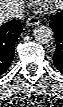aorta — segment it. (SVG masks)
<instances>
[{"label":"aorta","mask_w":63,"mask_h":107,"mask_svg":"<svg viewBox=\"0 0 63 107\" xmlns=\"http://www.w3.org/2000/svg\"><path fill=\"white\" fill-rule=\"evenodd\" d=\"M34 39L39 44H48L54 36L53 30L44 25L36 27L33 31Z\"/></svg>","instance_id":"762f6f07"}]
</instances>
